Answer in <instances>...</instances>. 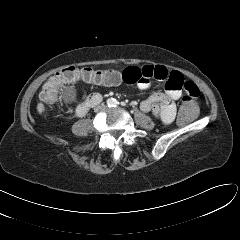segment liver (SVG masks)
Returning a JSON list of instances; mask_svg holds the SVG:
<instances>
[{
    "label": "liver",
    "instance_id": "1",
    "mask_svg": "<svg viewBox=\"0 0 240 240\" xmlns=\"http://www.w3.org/2000/svg\"><path fill=\"white\" fill-rule=\"evenodd\" d=\"M45 110H46V109H45V106H44L43 103L40 102V103L37 104V112H38L39 114H42Z\"/></svg>",
    "mask_w": 240,
    "mask_h": 240
}]
</instances>
